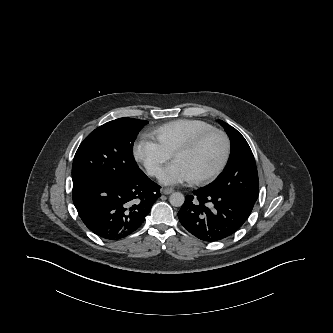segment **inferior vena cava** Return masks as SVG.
<instances>
[{"label": "inferior vena cava", "mask_w": 333, "mask_h": 333, "mask_svg": "<svg viewBox=\"0 0 333 333\" xmlns=\"http://www.w3.org/2000/svg\"><path fill=\"white\" fill-rule=\"evenodd\" d=\"M149 175H159L160 174V169L157 167L151 168L148 170Z\"/></svg>", "instance_id": "1"}]
</instances>
